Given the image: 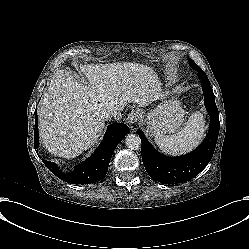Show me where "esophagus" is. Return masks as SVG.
Segmentation results:
<instances>
[{"instance_id":"1","label":"esophagus","mask_w":249,"mask_h":249,"mask_svg":"<svg viewBox=\"0 0 249 249\" xmlns=\"http://www.w3.org/2000/svg\"><path fill=\"white\" fill-rule=\"evenodd\" d=\"M140 120V114L136 110H132L128 117H127V123L129 124L131 130H134L136 125L138 124Z\"/></svg>"}]
</instances>
